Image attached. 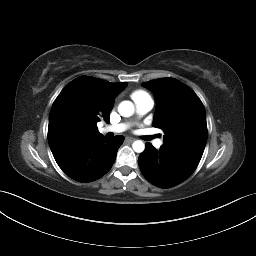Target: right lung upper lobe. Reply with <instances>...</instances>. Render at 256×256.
Listing matches in <instances>:
<instances>
[{"label":"right lung upper lobe","mask_w":256,"mask_h":256,"mask_svg":"<svg viewBox=\"0 0 256 256\" xmlns=\"http://www.w3.org/2000/svg\"><path fill=\"white\" fill-rule=\"evenodd\" d=\"M128 83H111L90 76L70 82L53 103L48 126L51 151L80 139L99 136L96 123L109 122L115 97Z\"/></svg>","instance_id":"1"}]
</instances>
